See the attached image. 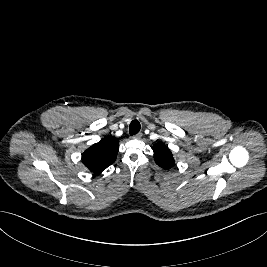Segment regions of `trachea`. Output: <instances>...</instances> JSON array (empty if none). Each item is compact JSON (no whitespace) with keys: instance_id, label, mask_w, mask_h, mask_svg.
I'll list each match as a JSON object with an SVG mask.
<instances>
[{"instance_id":"1","label":"trachea","mask_w":267,"mask_h":267,"mask_svg":"<svg viewBox=\"0 0 267 267\" xmlns=\"http://www.w3.org/2000/svg\"><path fill=\"white\" fill-rule=\"evenodd\" d=\"M140 128H141L140 123L137 120H133L129 126L130 135L131 136L136 135L140 131Z\"/></svg>"}]
</instances>
